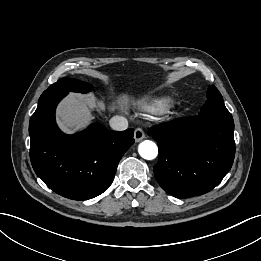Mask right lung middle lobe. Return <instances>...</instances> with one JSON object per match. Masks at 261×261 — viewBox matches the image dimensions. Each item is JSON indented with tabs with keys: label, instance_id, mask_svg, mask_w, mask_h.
<instances>
[{
	"label": "right lung middle lobe",
	"instance_id": "1",
	"mask_svg": "<svg viewBox=\"0 0 261 261\" xmlns=\"http://www.w3.org/2000/svg\"><path fill=\"white\" fill-rule=\"evenodd\" d=\"M91 85L86 82L73 79V78H62L56 83L48 87L49 91H73V92H82L86 93L90 91Z\"/></svg>",
	"mask_w": 261,
	"mask_h": 261
}]
</instances>
